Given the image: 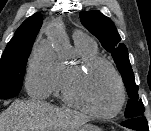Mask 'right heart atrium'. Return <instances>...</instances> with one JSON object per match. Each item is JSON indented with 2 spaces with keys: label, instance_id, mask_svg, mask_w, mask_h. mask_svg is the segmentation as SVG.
<instances>
[{
  "label": "right heart atrium",
  "instance_id": "right-heart-atrium-1",
  "mask_svg": "<svg viewBox=\"0 0 151 131\" xmlns=\"http://www.w3.org/2000/svg\"><path fill=\"white\" fill-rule=\"evenodd\" d=\"M56 61L51 53L35 51L31 55L25 74V87L30 96L46 98L53 90Z\"/></svg>",
  "mask_w": 151,
  "mask_h": 131
}]
</instances>
